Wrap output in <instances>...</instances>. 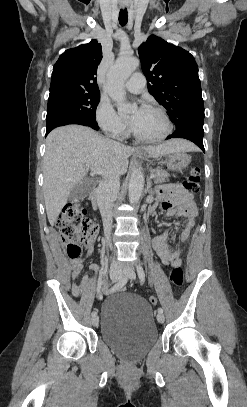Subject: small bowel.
<instances>
[{
  "instance_id": "1",
  "label": "small bowel",
  "mask_w": 247,
  "mask_h": 407,
  "mask_svg": "<svg viewBox=\"0 0 247 407\" xmlns=\"http://www.w3.org/2000/svg\"><path fill=\"white\" fill-rule=\"evenodd\" d=\"M157 194L160 199V209L165 211L167 217L185 216L186 219L182 224L179 245L176 248H171L169 245L170 232H165L154 237L152 246L164 265H181L180 255L182 246L189 242L191 230L195 225V218L197 216L195 202L191 195L186 193L182 187L177 184L164 185L158 189ZM87 250V257H90L94 251L92 243L88 244ZM84 261L85 259L70 260V277L72 279H76L80 275L84 267ZM89 269L95 272V276H83L79 285L75 283L72 284L71 290L74 296L78 297L85 294L95 281L97 275L102 271V268L97 264H91ZM100 290H105V282L100 284Z\"/></svg>"
}]
</instances>
